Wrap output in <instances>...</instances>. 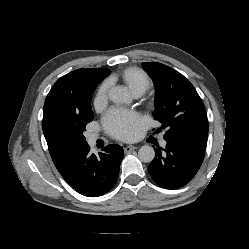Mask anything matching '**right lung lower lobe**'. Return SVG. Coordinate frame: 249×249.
<instances>
[{
    "label": "right lung lower lobe",
    "instance_id": "obj_1",
    "mask_svg": "<svg viewBox=\"0 0 249 249\" xmlns=\"http://www.w3.org/2000/svg\"><path fill=\"white\" fill-rule=\"evenodd\" d=\"M89 151L88 144L69 146L53 162L78 193L97 197L109 192L116 184L124 151L116 144L104 147L97 156Z\"/></svg>",
    "mask_w": 249,
    "mask_h": 249
}]
</instances>
